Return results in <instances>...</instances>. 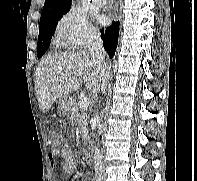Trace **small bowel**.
<instances>
[{
  "mask_svg": "<svg viewBox=\"0 0 197 181\" xmlns=\"http://www.w3.org/2000/svg\"><path fill=\"white\" fill-rule=\"evenodd\" d=\"M58 155L62 158V172L65 175H72L77 168V162L70 146L64 145L61 150L58 151L51 150L49 154V163L52 168H55L57 165L56 157Z\"/></svg>",
  "mask_w": 197,
  "mask_h": 181,
  "instance_id": "small-bowel-1",
  "label": "small bowel"
}]
</instances>
